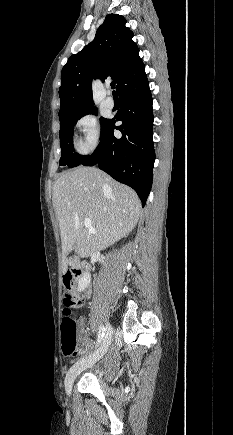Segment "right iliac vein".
<instances>
[{
  "instance_id": "right-iliac-vein-1",
  "label": "right iliac vein",
  "mask_w": 233,
  "mask_h": 435,
  "mask_svg": "<svg viewBox=\"0 0 233 435\" xmlns=\"http://www.w3.org/2000/svg\"><path fill=\"white\" fill-rule=\"evenodd\" d=\"M113 335V329L111 325H108L106 328V333L104 335V338L102 339V342L98 349L91 355L77 361L67 372L65 377V390L66 393L69 395L72 390L73 383L76 379V377L86 368L91 367L93 364H95L99 359H101L105 353L107 352L111 339Z\"/></svg>"
}]
</instances>
